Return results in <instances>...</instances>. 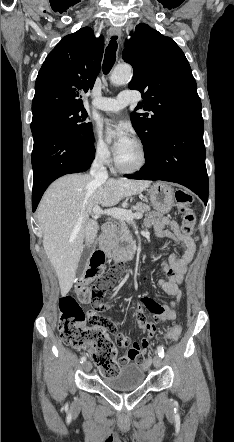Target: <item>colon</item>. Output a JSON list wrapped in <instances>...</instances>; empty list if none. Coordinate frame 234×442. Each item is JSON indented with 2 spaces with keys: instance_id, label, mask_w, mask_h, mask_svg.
Masks as SVG:
<instances>
[{
  "instance_id": "obj_1",
  "label": "colon",
  "mask_w": 234,
  "mask_h": 442,
  "mask_svg": "<svg viewBox=\"0 0 234 442\" xmlns=\"http://www.w3.org/2000/svg\"><path fill=\"white\" fill-rule=\"evenodd\" d=\"M175 198L184 219L182 232L184 235H189L194 221V215L189 209L192 196L187 191L179 189L175 193ZM104 265V254L95 252L90 260L89 268L75 286V297H66L59 304L58 329L65 344L80 350H87L91 360L100 369L102 375L112 377L117 374L119 368L115 345L110 339L108 331H97L95 328H89L88 315H85L81 307V304H92L93 310L88 314H100L106 291L121 278L124 263H112L106 270ZM143 307L153 314L161 312V305L148 297L142 298L141 302L134 306L136 314H143ZM181 331L180 325H174L168 331L167 339L170 341L177 340ZM117 344L119 345V343ZM142 362V369L148 370L151 361L144 359Z\"/></svg>"
}]
</instances>
